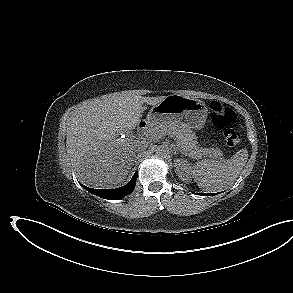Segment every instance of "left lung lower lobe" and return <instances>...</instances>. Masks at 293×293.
<instances>
[{
  "mask_svg": "<svg viewBox=\"0 0 293 293\" xmlns=\"http://www.w3.org/2000/svg\"><path fill=\"white\" fill-rule=\"evenodd\" d=\"M201 195H203V196H212V195H214V193H205V194H201Z\"/></svg>",
  "mask_w": 293,
  "mask_h": 293,
  "instance_id": "0a47b994",
  "label": "left lung lower lobe"
}]
</instances>
